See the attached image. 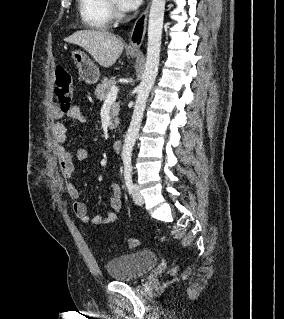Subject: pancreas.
Returning <instances> with one entry per match:
<instances>
[{"mask_svg":"<svg viewBox=\"0 0 284 319\" xmlns=\"http://www.w3.org/2000/svg\"><path fill=\"white\" fill-rule=\"evenodd\" d=\"M116 85L115 78L107 79L104 78L99 85H97L95 89V95L97 99L101 102H104L106 100L107 95L110 93L111 88ZM120 107L119 103L115 102L111 106V119L112 124L110 125V129H115L119 123L118 121V113H119Z\"/></svg>","mask_w":284,"mask_h":319,"instance_id":"pancreas-1","label":"pancreas"}]
</instances>
